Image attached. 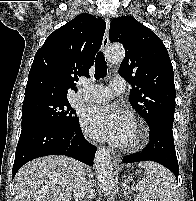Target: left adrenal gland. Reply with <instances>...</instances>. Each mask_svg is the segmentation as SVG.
Segmentation results:
<instances>
[{"label":"left adrenal gland","mask_w":196,"mask_h":201,"mask_svg":"<svg viewBox=\"0 0 196 201\" xmlns=\"http://www.w3.org/2000/svg\"><path fill=\"white\" fill-rule=\"evenodd\" d=\"M128 184H129V178H125V180L122 182V188H124V196L125 197H128L129 196V193H128V191H129V186H128Z\"/></svg>","instance_id":"a2214340"}]
</instances>
